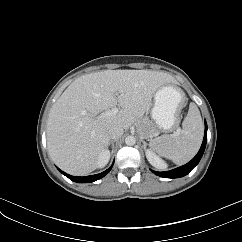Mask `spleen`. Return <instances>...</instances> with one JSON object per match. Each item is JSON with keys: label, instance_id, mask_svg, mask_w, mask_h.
I'll list each match as a JSON object with an SVG mask.
<instances>
[{"label": "spleen", "instance_id": "1", "mask_svg": "<svg viewBox=\"0 0 242 242\" xmlns=\"http://www.w3.org/2000/svg\"><path fill=\"white\" fill-rule=\"evenodd\" d=\"M203 134L204 126L200 111L194 103H190L181 132L157 137L151 141L150 146L159 155L177 165H183L198 152Z\"/></svg>", "mask_w": 242, "mask_h": 242}]
</instances>
